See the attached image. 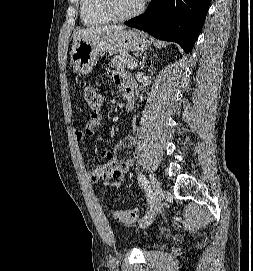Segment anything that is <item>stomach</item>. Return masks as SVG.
Returning <instances> with one entry per match:
<instances>
[{
	"label": "stomach",
	"mask_w": 253,
	"mask_h": 271,
	"mask_svg": "<svg viewBox=\"0 0 253 271\" xmlns=\"http://www.w3.org/2000/svg\"><path fill=\"white\" fill-rule=\"evenodd\" d=\"M149 44L145 35L138 30L94 34L75 43L71 52V64L75 72L86 75L106 51L128 53L147 49Z\"/></svg>",
	"instance_id": "1"
}]
</instances>
